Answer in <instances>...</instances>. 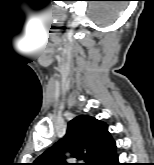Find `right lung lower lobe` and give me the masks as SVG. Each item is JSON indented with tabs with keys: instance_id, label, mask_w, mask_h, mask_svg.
I'll use <instances>...</instances> for the list:
<instances>
[{
	"instance_id": "1",
	"label": "right lung lower lobe",
	"mask_w": 154,
	"mask_h": 165,
	"mask_svg": "<svg viewBox=\"0 0 154 165\" xmlns=\"http://www.w3.org/2000/svg\"><path fill=\"white\" fill-rule=\"evenodd\" d=\"M115 149L116 144L113 139L110 138L102 147V150L93 165H121V163L118 162Z\"/></svg>"
}]
</instances>
